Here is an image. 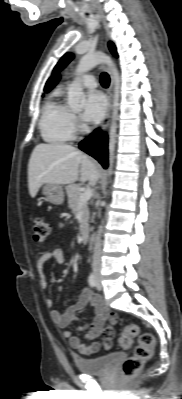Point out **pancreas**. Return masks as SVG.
I'll return each instance as SVG.
<instances>
[{
	"label": "pancreas",
	"mask_w": 182,
	"mask_h": 399,
	"mask_svg": "<svg viewBox=\"0 0 182 399\" xmlns=\"http://www.w3.org/2000/svg\"><path fill=\"white\" fill-rule=\"evenodd\" d=\"M67 195H68V205L71 209L72 213L75 214L79 227L80 234H85L89 228V209L88 203L83 202L80 206V195L82 191L80 190L78 185L71 184L66 187Z\"/></svg>",
	"instance_id": "cf45deb5"
}]
</instances>
